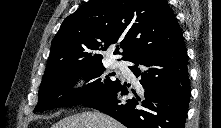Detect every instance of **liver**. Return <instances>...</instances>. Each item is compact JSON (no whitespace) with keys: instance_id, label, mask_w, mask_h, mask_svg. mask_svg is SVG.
<instances>
[{"instance_id":"1","label":"liver","mask_w":221,"mask_h":128,"mask_svg":"<svg viewBox=\"0 0 221 128\" xmlns=\"http://www.w3.org/2000/svg\"><path fill=\"white\" fill-rule=\"evenodd\" d=\"M52 128H124V126L103 113L87 111L66 117Z\"/></svg>"}]
</instances>
